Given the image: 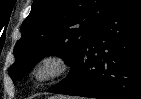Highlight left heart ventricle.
I'll return each instance as SVG.
<instances>
[{"mask_svg": "<svg viewBox=\"0 0 141 99\" xmlns=\"http://www.w3.org/2000/svg\"><path fill=\"white\" fill-rule=\"evenodd\" d=\"M49 71H50V68H44V69L41 70L40 75H41V76H44V75H46Z\"/></svg>", "mask_w": 141, "mask_h": 99, "instance_id": "obj_1", "label": "left heart ventricle"}]
</instances>
